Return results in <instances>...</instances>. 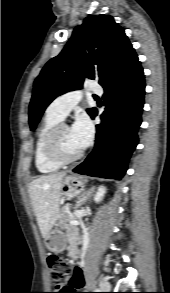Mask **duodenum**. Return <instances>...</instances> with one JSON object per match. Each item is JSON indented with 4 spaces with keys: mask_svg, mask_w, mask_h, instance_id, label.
I'll list each match as a JSON object with an SVG mask.
<instances>
[{
    "mask_svg": "<svg viewBox=\"0 0 170 293\" xmlns=\"http://www.w3.org/2000/svg\"><path fill=\"white\" fill-rule=\"evenodd\" d=\"M72 254L75 256L77 254V252L75 250H73Z\"/></svg>",
    "mask_w": 170,
    "mask_h": 293,
    "instance_id": "410a0bca",
    "label": "duodenum"
}]
</instances>
